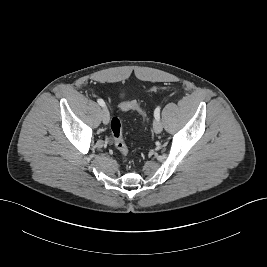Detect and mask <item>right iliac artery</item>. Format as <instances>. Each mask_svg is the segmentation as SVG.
<instances>
[{"label":"right iliac artery","mask_w":267,"mask_h":267,"mask_svg":"<svg viewBox=\"0 0 267 267\" xmlns=\"http://www.w3.org/2000/svg\"><path fill=\"white\" fill-rule=\"evenodd\" d=\"M97 102L100 106L106 107L105 102L102 99H98Z\"/></svg>","instance_id":"right-iliac-artery-1"}]
</instances>
